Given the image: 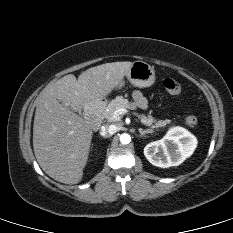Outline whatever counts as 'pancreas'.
<instances>
[{
    "label": "pancreas",
    "instance_id": "pancreas-1",
    "mask_svg": "<svg viewBox=\"0 0 233 233\" xmlns=\"http://www.w3.org/2000/svg\"><path fill=\"white\" fill-rule=\"evenodd\" d=\"M130 103L128 99H125L123 96H118L115 99H113L105 109V111L102 113L103 117L107 119L109 122L113 121H119L113 119V114L117 109L120 108H130ZM140 121L143 125L150 127L151 129L149 130L150 132L153 131V129H158V128H164L166 125L171 124V120H159L156 121L152 116H145V115H139Z\"/></svg>",
    "mask_w": 233,
    "mask_h": 233
}]
</instances>
